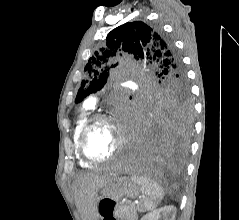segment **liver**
<instances>
[{
    "instance_id": "1",
    "label": "liver",
    "mask_w": 239,
    "mask_h": 220,
    "mask_svg": "<svg viewBox=\"0 0 239 220\" xmlns=\"http://www.w3.org/2000/svg\"><path fill=\"white\" fill-rule=\"evenodd\" d=\"M111 178L112 175L108 174H86L75 181L74 199L83 220H92L96 216V191L105 186Z\"/></svg>"
}]
</instances>
